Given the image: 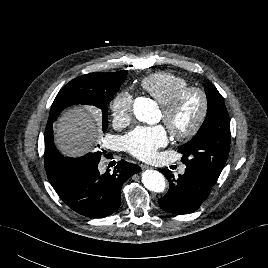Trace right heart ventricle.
<instances>
[{"instance_id":"1","label":"right heart ventricle","mask_w":268,"mask_h":268,"mask_svg":"<svg viewBox=\"0 0 268 268\" xmlns=\"http://www.w3.org/2000/svg\"><path fill=\"white\" fill-rule=\"evenodd\" d=\"M187 85V80L169 72L153 73L141 81V87L160 106L167 104L180 89L187 87Z\"/></svg>"}]
</instances>
